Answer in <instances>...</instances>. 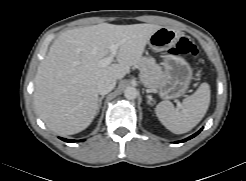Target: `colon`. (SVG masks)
Segmentation results:
<instances>
[{
    "instance_id": "1",
    "label": "colon",
    "mask_w": 246,
    "mask_h": 181,
    "mask_svg": "<svg viewBox=\"0 0 246 181\" xmlns=\"http://www.w3.org/2000/svg\"><path fill=\"white\" fill-rule=\"evenodd\" d=\"M172 55H191L197 56L198 50L194 43L186 37H182L177 42L176 46L170 50Z\"/></svg>"
}]
</instances>
